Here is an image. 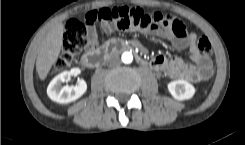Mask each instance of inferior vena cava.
Here are the masks:
<instances>
[{"instance_id":"1","label":"inferior vena cava","mask_w":245,"mask_h":145,"mask_svg":"<svg viewBox=\"0 0 245 145\" xmlns=\"http://www.w3.org/2000/svg\"><path fill=\"white\" fill-rule=\"evenodd\" d=\"M109 66H118L120 64V59L118 57H113L108 61Z\"/></svg>"}]
</instances>
